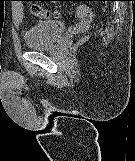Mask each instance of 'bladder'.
I'll return each instance as SVG.
<instances>
[{
	"label": "bladder",
	"mask_w": 135,
	"mask_h": 161,
	"mask_svg": "<svg viewBox=\"0 0 135 161\" xmlns=\"http://www.w3.org/2000/svg\"><path fill=\"white\" fill-rule=\"evenodd\" d=\"M65 32V25L58 20H43L34 23L25 33V46L42 50L55 46Z\"/></svg>",
	"instance_id": "bladder-1"
}]
</instances>
